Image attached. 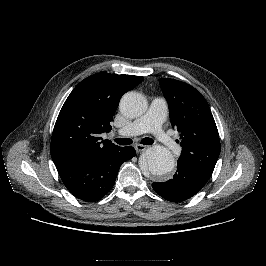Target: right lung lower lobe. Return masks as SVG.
Wrapping results in <instances>:
<instances>
[{"instance_id": "1", "label": "right lung lower lobe", "mask_w": 266, "mask_h": 266, "mask_svg": "<svg viewBox=\"0 0 266 266\" xmlns=\"http://www.w3.org/2000/svg\"><path fill=\"white\" fill-rule=\"evenodd\" d=\"M135 154L131 146H117L57 164L56 168L64 185L75 197L85 202H94L111 190L121 164Z\"/></svg>"}]
</instances>
